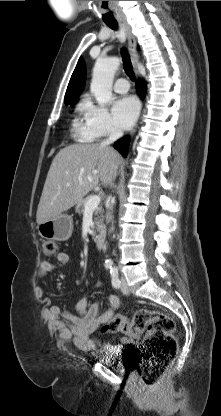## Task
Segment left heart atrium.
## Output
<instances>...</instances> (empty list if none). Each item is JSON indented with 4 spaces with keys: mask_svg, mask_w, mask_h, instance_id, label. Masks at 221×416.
<instances>
[{
    "mask_svg": "<svg viewBox=\"0 0 221 416\" xmlns=\"http://www.w3.org/2000/svg\"><path fill=\"white\" fill-rule=\"evenodd\" d=\"M112 111L118 125L129 129L138 116L139 103L133 96H123L114 102Z\"/></svg>",
    "mask_w": 221,
    "mask_h": 416,
    "instance_id": "left-heart-atrium-1",
    "label": "left heart atrium"
}]
</instances>
